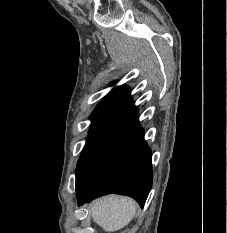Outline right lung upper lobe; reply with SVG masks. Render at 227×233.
<instances>
[{"instance_id":"1","label":"right lung upper lobe","mask_w":227,"mask_h":233,"mask_svg":"<svg viewBox=\"0 0 227 233\" xmlns=\"http://www.w3.org/2000/svg\"><path fill=\"white\" fill-rule=\"evenodd\" d=\"M91 122L90 134L116 135L119 138L139 127L129 88L122 85L111 90L92 113Z\"/></svg>"}]
</instances>
